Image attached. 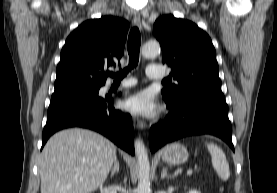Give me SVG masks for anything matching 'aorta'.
Segmentation results:
<instances>
[{"label":"aorta","instance_id":"aorta-1","mask_svg":"<svg viewBox=\"0 0 277 193\" xmlns=\"http://www.w3.org/2000/svg\"><path fill=\"white\" fill-rule=\"evenodd\" d=\"M160 50L159 43L149 42L142 47V55L154 58L160 54ZM134 147L139 168L137 193H150V164L147 151L140 139L135 140Z\"/></svg>","mask_w":277,"mask_h":193}]
</instances>
